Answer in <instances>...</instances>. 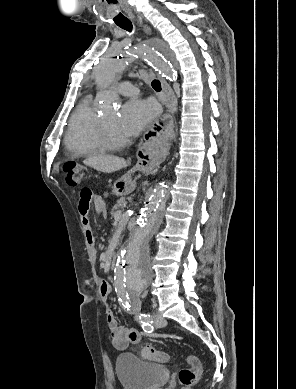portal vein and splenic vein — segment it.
<instances>
[{"instance_id": "obj_1", "label": "portal vein and splenic vein", "mask_w": 296, "mask_h": 389, "mask_svg": "<svg viewBox=\"0 0 296 389\" xmlns=\"http://www.w3.org/2000/svg\"><path fill=\"white\" fill-rule=\"evenodd\" d=\"M121 216H122V213L120 211V212L116 213L114 218H115L116 221H119L121 219Z\"/></svg>"}]
</instances>
